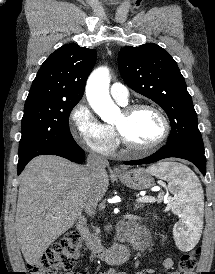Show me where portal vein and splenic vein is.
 <instances>
[{"instance_id":"1","label":"portal vein and splenic vein","mask_w":215,"mask_h":274,"mask_svg":"<svg viewBox=\"0 0 215 274\" xmlns=\"http://www.w3.org/2000/svg\"><path fill=\"white\" fill-rule=\"evenodd\" d=\"M154 201H155V198L151 196H143L137 199V202H141V203H151Z\"/></svg>"}]
</instances>
